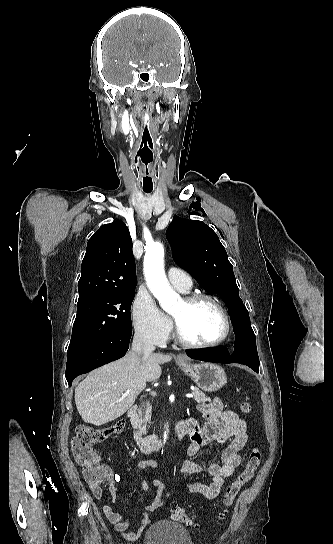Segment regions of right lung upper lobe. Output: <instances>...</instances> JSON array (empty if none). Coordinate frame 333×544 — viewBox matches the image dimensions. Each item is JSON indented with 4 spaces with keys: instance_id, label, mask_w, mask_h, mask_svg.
<instances>
[{
    "instance_id": "1",
    "label": "right lung upper lobe",
    "mask_w": 333,
    "mask_h": 544,
    "mask_svg": "<svg viewBox=\"0 0 333 544\" xmlns=\"http://www.w3.org/2000/svg\"><path fill=\"white\" fill-rule=\"evenodd\" d=\"M78 282V302L110 291L136 287L132 239L121 220L101 226L89 239Z\"/></svg>"
}]
</instances>
